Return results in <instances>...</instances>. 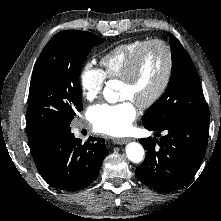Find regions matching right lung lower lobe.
<instances>
[{"mask_svg": "<svg viewBox=\"0 0 221 221\" xmlns=\"http://www.w3.org/2000/svg\"><path fill=\"white\" fill-rule=\"evenodd\" d=\"M82 144L71 128L51 133L32 151L36 167L52 187L78 191L91 184L98 175L107 148L103 138Z\"/></svg>", "mask_w": 221, "mask_h": 221, "instance_id": "right-lung-lower-lobe-1", "label": "right lung lower lobe"}]
</instances>
